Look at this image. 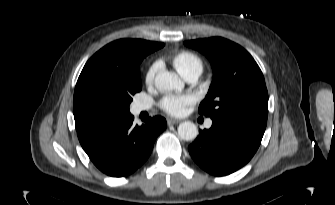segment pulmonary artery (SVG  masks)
<instances>
[{
    "instance_id": "obj_1",
    "label": "pulmonary artery",
    "mask_w": 335,
    "mask_h": 205,
    "mask_svg": "<svg viewBox=\"0 0 335 205\" xmlns=\"http://www.w3.org/2000/svg\"><path fill=\"white\" fill-rule=\"evenodd\" d=\"M199 75H200L199 73H190V74L185 76V79L189 82H194L198 79ZM134 109H135L136 112L139 113L141 111H145V110L149 109V105H147L145 103H137V104H135ZM206 125H207V127H210L211 126V121H208Z\"/></svg>"
}]
</instances>
